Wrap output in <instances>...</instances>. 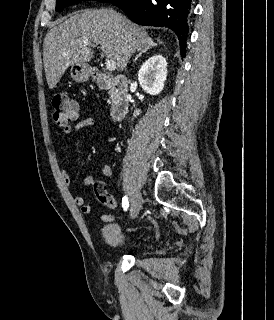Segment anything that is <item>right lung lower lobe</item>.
I'll return each mask as SVG.
<instances>
[{"instance_id": "98d812e1", "label": "right lung lower lobe", "mask_w": 274, "mask_h": 320, "mask_svg": "<svg viewBox=\"0 0 274 320\" xmlns=\"http://www.w3.org/2000/svg\"><path fill=\"white\" fill-rule=\"evenodd\" d=\"M110 3L137 24L172 29L178 36L181 56H185L192 0H111Z\"/></svg>"}]
</instances>
